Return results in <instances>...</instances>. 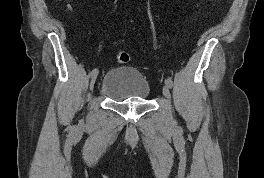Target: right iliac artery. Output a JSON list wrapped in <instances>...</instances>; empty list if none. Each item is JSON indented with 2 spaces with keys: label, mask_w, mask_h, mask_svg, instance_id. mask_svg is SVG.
I'll return each instance as SVG.
<instances>
[{
  "label": "right iliac artery",
  "mask_w": 264,
  "mask_h": 178,
  "mask_svg": "<svg viewBox=\"0 0 264 178\" xmlns=\"http://www.w3.org/2000/svg\"><path fill=\"white\" fill-rule=\"evenodd\" d=\"M98 74V69H93L91 72H90V76H95Z\"/></svg>",
  "instance_id": "1"
}]
</instances>
